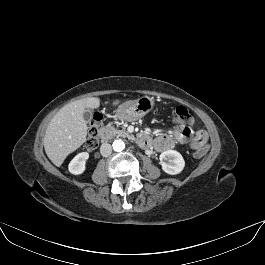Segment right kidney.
Returning a JSON list of instances; mask_svg holds the SVG:
<instances>
[{
    "label": "right kidney",
    "mask_w": 265,
    "mask_h": 265,
    "mask_svg": "<svg viewBox=\"0 0 265 265\" xmlns=\"http://www.w3.org/2000/svg\"><path fill=\"white\" fill-rule=\"evenodd\" d=\"M89 158L87 152L77 154L69 163L68 170L74 175L82 174L86 168V161Z\"/></svg>",
    "instance_id": "obj_1"
}]
</instances>
